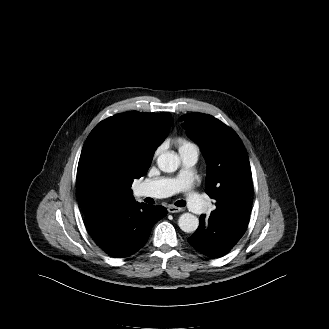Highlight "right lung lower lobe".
Segmentation results:
<instances>
[{
    "label": "right lung lower lobe",
    "mask_w": 329,
    "mask_h": 329,
    "mask_svg": "<svg viewBox=\"0 0 329 329\" xmlns=\"http://www.w3.org/2000/svg\"><path fill=\"white\" fill-rule=\"evenodd\" d=\"M163 206L129 202L101 205L85 214V224L97 245L112 257H127L147 242L153 225L165 217Z\"/></svg>",
    "instance_id": "right-lung-lower-lobe-1"
}]
</instances>
